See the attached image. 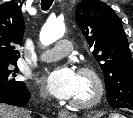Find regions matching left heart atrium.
<instances>
[{
	"instance_id": "1",
	"label": "left heart atrium",
	"mask_w": 133,
	"mask_h": 118,
	"mask_svg": "<svg viewBox=\"0 0 133 118\" xmlns=\"http://www.w3.org/2000/svg\"><path fill=\"white\" fill-rule=\"evenodd\" d=\"M48 92L58 99H72L79 87V75L70 67H60L45 78Z\"/></svg>"
}]
</instances>
